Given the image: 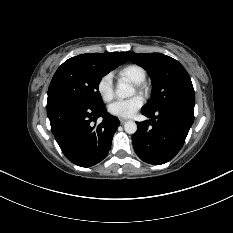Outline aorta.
Masks as SVG:
<instances>
[{"label": "aorta", "mask_w": 233, "mask_h": 233, "mask_svg": "<svg viewBox=\"0 0 233 233\" xmlns=\"http://www.w3.org/2000/svg\"><path fill=\"white\" fill-rule=\"evenodd\" d=\"M134 93V88L125 82H119L115 90L116 96L120 99L131 97ZM124 130L128 134H134L137 131V124L134 121H127L124 124Z\"/></svg>", "instance_id": "aorta-1"}]
</instances>
